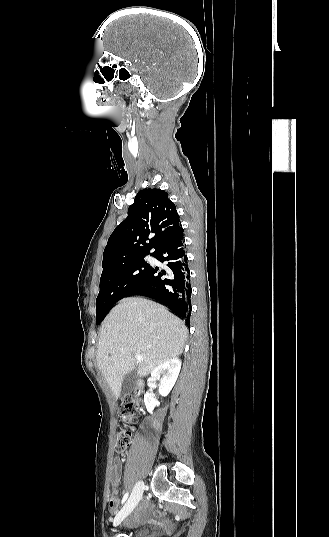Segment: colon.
<instances>
[{
	"instance_id": "5ec220e1",
	"label": "colon",
	"mask_w": 329,
	"mask_h": 537,
	"mask_svg": "<svg viewBox=\"0 0 329 537\" xmlns=\"http://www.w3.org/2000/svg\"><path fill=\"white\" fill-rule=\"evenodd\" d=\"M137 404L135 396H129L124 400L120 414L125 428L117 432L114 439V451L123 453L129 446L132 436L131 425L136 421Z\"/></svg>"
}]
</instances>
